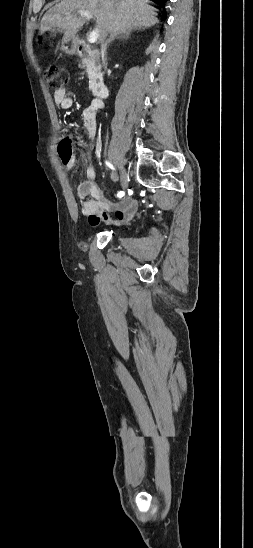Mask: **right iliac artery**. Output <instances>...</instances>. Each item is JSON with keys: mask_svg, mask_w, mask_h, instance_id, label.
Masks as SVG:
<instances>
[{"mask_svg": "<svg viewBox=\"0 0 253 548\" xmlns=\"http://www.w3.org/2000/svg\"><path fill=\"white\" fill-rule=\"evenodd\" d=\"M106 164H107L110 168L113 169V166H112L109 162H106ZM123 196H124V192L120 191V192L118 193V197H123Z\"/></svg>", "mask_w": 253, "mask_h": 548, "instance_id": "82829eb1", "label": "right iliac artery"}]
</instances>
